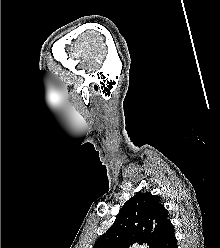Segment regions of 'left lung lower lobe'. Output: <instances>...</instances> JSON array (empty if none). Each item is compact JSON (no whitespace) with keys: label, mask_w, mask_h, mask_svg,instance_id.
Returning a JSON list of instances; mask_svg holds the SVG:
<instances>
[{"label":"left lung lower lobe","mask_w":220,"mask_h":248,"mask_svg":"<svg viewBox=\"0 0 220 248\" xmlns=\"http://www.w3.org/2000/svg\"><path fill=\"white\" fill-rule=\"evenodd\" d=\"M157 248H178L173 225L169 227Z\"/></svg>","instance_id":"1"}]
</instances>
